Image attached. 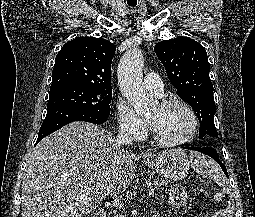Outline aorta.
<instances>
[{
  "label": "aorta",
  "mask_w": 255,
  "mask_h": 217,
  "mask_svg": "<svg viewBox=\"0 0 255 217\" xmlns=\"http://www.w3.org/2000/svg\"><path fill=\"white\" fill-rule=\"evenodd\" d=\"M143 67L144 58L142 51L139 48H133L127 51L120 59L117 73L122 94L140 116L149 112L157 103L146 93L143 85Z\"/></svg>",
  "instance_id": "aorta-1"
}]
</instances>
